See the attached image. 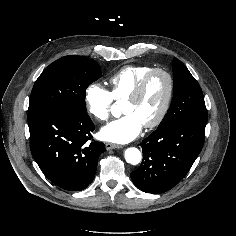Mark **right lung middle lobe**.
Masks as SVG:
<instances>
[{
    "mask_svg": "<svg viewBox=\"0 0 236 236\" xmlns=\"http://www.w3.org/2000/svg\"><path fill=\"white\" fill-rule=\"evenodd\" d=\"M102 77L100 66L84 56H65L50 64L36 80L28 112L48 109L87 114V87Z\"/></svg>",
    "mask_w": 236,
    "mask_h": 236,
    "instance_id": "obj_1",
    "label": "right lung middle lobe"
}]
</instances>
